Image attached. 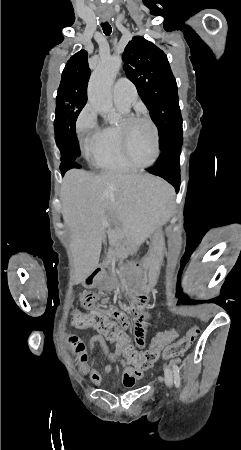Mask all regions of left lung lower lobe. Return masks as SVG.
I'll return each instance as SVG.
<instances>
[{
    "mask_svg": "<svg viewBox=\"0 0 241 450\" xmlns=\"http://www.w3.org/2000/svg\"><path fill=\"white\" fill-rule=\"evenodd\" d=\"M180 146L181 139L179 138L172 142L166 150L161 152L156 165L147 169L148 172L167 180L177 191L180 186Z\"/></svg>",
    "mask_w": 241,
    "mask_h": 450,
    "instance_id": "left-lung-lower-lobe-1",
    "label": "left lung lower lobe"
}]
</instances>
